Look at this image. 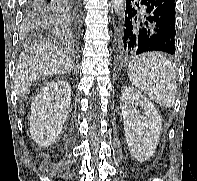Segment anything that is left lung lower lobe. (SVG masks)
<instances>
[{
  "mask_svg": "<svg viewBox=\"0 0 197 181\" xmlns=\"http://www.w3.org/2000/svg\"><path fill=\"white\" fill-rule=\"evenodd\" d=\"M175 34V0H126L117 55L121 59L154 51L173 55Z\"/></svg>",
  "mask_w": 197,
  "mask_h": 181,
  "instance_id": "obj_1",
  "label": "left lung lower lobe"
}]
</instances>
